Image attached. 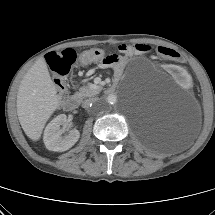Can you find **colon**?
Listing matches in <instances>:
<instances>
[{
    "instance_id": "colon-1",
    "label": "colon",
    "mask_w": 215,
    "mask_h": 215,
    "mask_svg": "<svg viewBox=\"0 0 215 215\" xmlns=\"http://www.w3.org/2000/svg\"><path fill=\"white\" fill-rule=\"evenodd\" d=\"M126 46H120L119 51H124ZM158 56L163 59L177 61L179 60L182 63L186 62V59L183 58L176 50L166 47L159 46L156 49ZM77 53L73 49H65L61 52H50L46 56V61L53 72L54 83L60 95L64 94L67 89L66 75L68 74L71 65L77 59ZM104 53L100 49H89L81 53L80 59L87 63L97 59H104Z\"/></svg>"
}]
</instances>
